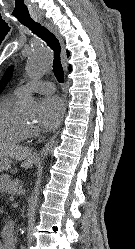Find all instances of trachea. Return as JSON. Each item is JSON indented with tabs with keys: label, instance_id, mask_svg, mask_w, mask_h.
<instances>
[{
	"label": "trachea",
	"instance_id": "1",
	"mask_svg": "<svg viewBox=\"0 0 135 249\" xmlns=\"http://www.w3.org/2000/svg\"><path fill=\"white\" fill-rule=\"evenodd\" d=\"M22 24L28 27L34 34H36L42 40H44L47 43V45L53 50L54 52L53 72L58 82L63 83L64 72L60 60L61 46L56 36L52 32H50L46 27L41 26V24L39 23L25 22Z\"/></svg>",
	"mask_w": 135,
	"mask_h": 249
}]
</instances>
